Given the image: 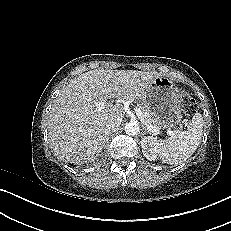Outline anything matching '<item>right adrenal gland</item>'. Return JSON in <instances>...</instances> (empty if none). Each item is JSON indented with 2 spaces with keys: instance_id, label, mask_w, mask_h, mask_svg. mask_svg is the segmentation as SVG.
Returning <instances> with one entry per match:
<instances>
[{
  "instance_id": "1",
  "label": "right adrenal gland",
  "mask_w": 231,
  "mask_h": 231,
  "mask_svg": "<svg viewBox=\"0 0 231 231\" xmlns=\"http://www.w3.org/2000/svg\"><path fill=\"white\" fill-rule=\"evenodd\" d=\"M108 139H109V137L107 138L106 143L108 142ZM105 147H106V145H105Z\"/></svg>"
}]
</instances>
